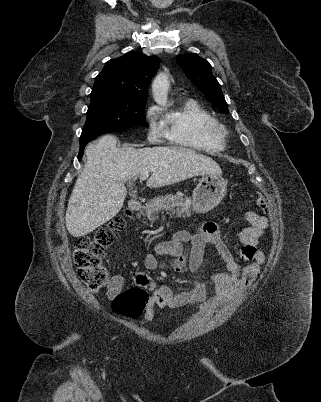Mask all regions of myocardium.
Returning a JSON list of instances; mask_svg holds the SVG:
<instances>
[{"label":"myocardium","instance_id":"obj_1","mask_svg":"<svg viewBox=\"0 0 321 402\" xmlns=\"http://www.w3.org/2000/svg\"><path fill=\"white\" fill-rule=\"evenodd\" d=\"M211 131L216 135H218L223 140L228 136V129L226 128V126L223 123L216 120L211 125Z\"/></svg>","mask_w":321,"mask_h":402}]
</instances>
